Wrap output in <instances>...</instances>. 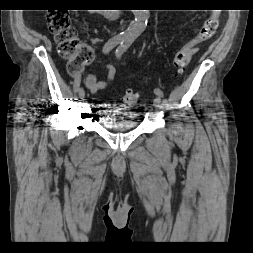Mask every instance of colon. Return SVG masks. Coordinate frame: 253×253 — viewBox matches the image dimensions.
<instances>
[{
	"mask_svg": "<svg viewBox=\"0 0 253 253\" xmlns=\"http://www.w3.org/2000/svg\"><path fill=\"white\" fill-rule=\"evenodd\" d=\"M49 29L58 43L60 55L68 59L69 72L80 75L83 69L94 60V51L88 45L79 41L71 26V20L66 12L57 11L49 14ZM218 28V13L209 16L199 28L197 35L188 41L174 56L175 73H181L188 65L193 54L198 51V45L210 39ZM140 96L131 90L123 95L126 104H137Z\"/></svg>",
	"mask_w": 253,
	"mask_h": 253,
	"instance_id": "5ec220e1",
	"label": "colon"
}]
</instances>
